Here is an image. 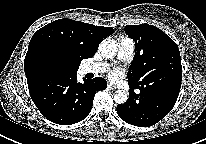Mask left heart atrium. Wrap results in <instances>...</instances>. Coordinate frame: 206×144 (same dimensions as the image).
<instances>
[{
	"label": "left heart atrium",
	"mask_w": 206,
	"mask_h": 144,
	"mask_svg": "<svg viewBox=\"0 0 206 144\" xmlns=\"http://www.w3.org/2000/svg\"><path fill=\"white\" fill-rule=\"evenodd\" d=\"M123 75V72L120 69H114L111 73H110V77L114 80L119 79L121 76Z\"/></svg>",
	"instance_id": "1"
}]
</instances>
